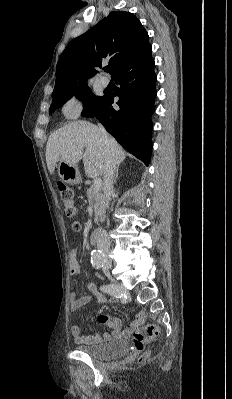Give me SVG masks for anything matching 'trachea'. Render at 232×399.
Segmentation results:
<instances>
[{"label": "trachea", "mask_w": 232, "mask_h": 399, "mask_svg": "<svg viewBox=\"0 0 232 399\" xmlns=\"http://www.w3.org/2000/svg\"><path fill=\"white\" fill-rule=\"evenodd\" d=\"M110 70V67H106L105 71L108 72Z\"/></svg>", "instance_id": "1"}]
</instances>
